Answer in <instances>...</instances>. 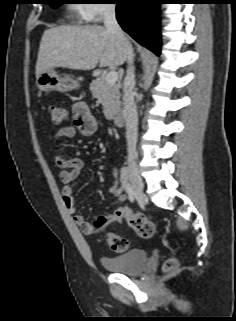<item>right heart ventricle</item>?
I'll return each instance as SVG.
<instances>
[{"label":"right heart ventricle","mask_w":236,"mask_h":321,"mask_svg":"<svg viewBox=\"0 0 236 321\" xmlns=\"http://www.w3.org/2000/svg\"><path fill=\"white\" fill-rule=\"evenodd\" d=\"M83 5H73L72 6V12L76 18H83L82 17V12H83Z\"/></svg>","instance_id":"e07e8e85"}]
</instances>
